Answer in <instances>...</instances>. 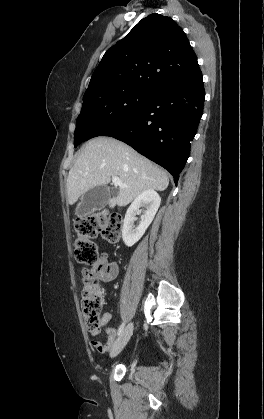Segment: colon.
<instances>
[{"label": "colon", "instance_id": "colon-1", "mask_svg": "<svg viewBox=\"0 0 264 419\" xmlns=\"http://www.w3.org/2000/svg\"><path fill=\"white\" fill-rule=\"evenodd\" d=\"M77 234L74 243V257L77 262L93 265L98 260V246L94 239L101 235L109 243H117L122 232V219L117 214L97 213L76 219ZM81 308L89 331L101 328L103 293L94 282L87 281L82 290Z\"/></svg>", "mask_w": 264, "mask_h": 419}]
</instances>
